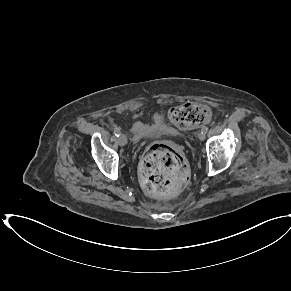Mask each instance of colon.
Wrapping results in <instances>:
<instances>
[{
  "label": "colon",
  "mask_w": 291,
  "mask_h": 291,
  "mask_svg": "<svg viewBox=\"0 0 291 291\" xmlns=\"http://www.w3.org/2000/svg\"><path fill=\"white\" fill-rule=\"evenodd\" d=\"M210 116L209 108L196 102L175 106L168 111L169 120L181 129L207 123ZM186 180L184 156L171 143L156 144L141 161L140 182L149 195H171L179 191Z\"/></svg>",
  "instance_id": "1"
}]
</instances>
